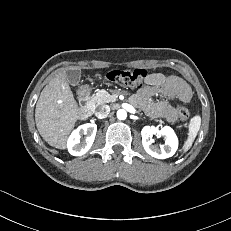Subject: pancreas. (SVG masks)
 Segmentation results:
<instances>
[{"mask_svg":"<svg viewBox=\"0 0 231 231\" xmlns=\"http://www.w3.org/2000/svg\"><path fill=\"white\" fill-rule=\"evenodd\" d=\"M116 97L114 95H110L106 90H99L95 96L91 98V101L97 105L114 102Z\"/></svg>","mask_w":231,"mask_h":231,"instance_id":"obj_1","label":"pancreas"}]
</instances>
